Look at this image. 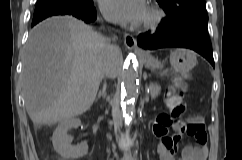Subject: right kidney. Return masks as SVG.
<instances>
[{
	"mask_svg": "<svg viewBox=\"0 0 242 160\" xmlns=\"http://www.w3.org/2000/svg\"><path fill=\"white\" fill-rule=\"evenodd\" d=\"M81 124L80 119L71 118L62 121L53 133L52 142L54 149L64 159H78L88 153V145L86 142L76 146H71L73 138L68 135V130L77 128Z\"/></svg>",
	"mask_w": 242,
	"mask_h": 160,
	"instance_id": "1",
	"label": "right kidney"
}]
</instances>
